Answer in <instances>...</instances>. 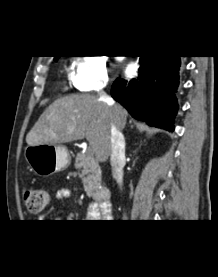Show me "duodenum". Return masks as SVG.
I'll use <instances>...</instances> for the list:
<instances>
[{"instance_id":"duodenum-1","label":"duodenum","mask_w":218,"mask_h":277,"mask_svg":"<svg viewBox=\"0 0 218 277\" xmlns=\"http://www.w3.org/2000/svg\"><path fill=\"white\" fill-rule=\"evenodd\" d=\"M96 201L101 205L103 212L110 209L111 205V191L108 188H102L95 194Z\"/></svg>"}]
</instances>
